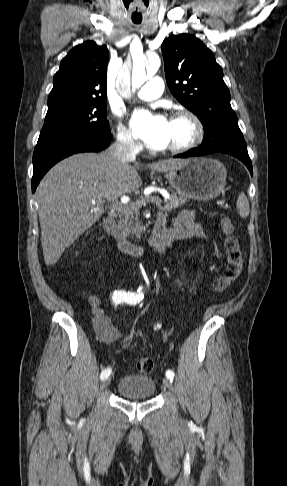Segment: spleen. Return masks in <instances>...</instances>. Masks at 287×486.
Here are the masks:
<instances>
[{
  "label": "spleen",
  "mask_w": 287,
  "mask_h": 486,
  "mask_svg": "<svg viewBox=\"0 0 287 486\" xmlns=\"http://www.w3.org/2000/svg\"><path fill=\"white\" fill-rule=\"evenodd\" d=\"M237 209L239 210V214L242 218H246L249 215L250 207L247 197L243 192L239 194L236 203Z\"/></svg>",
  "instance_id": "obj_1"
}]
</instances>
